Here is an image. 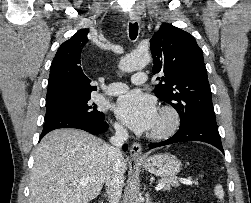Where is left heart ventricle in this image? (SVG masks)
Here are the masks:
<instances>
[{
  "instance_id": "b2bd125f",
  "label": "left heart ventricle",
  "mask_w": 251,
  "mask_h": 203,
  "mask_svg": "<svg viewBox=\"0 0 251 203\" xmlns=\"http://www.w3.org/2000/svg\"><path fill=\"white\" fill-rule=\"evenodd\" d=\"M164 124V120L157 117L156 123L153 128L161 127Z\"/></svg>"
}]
</instances>
